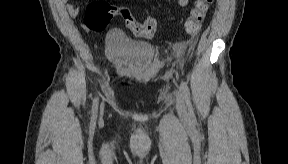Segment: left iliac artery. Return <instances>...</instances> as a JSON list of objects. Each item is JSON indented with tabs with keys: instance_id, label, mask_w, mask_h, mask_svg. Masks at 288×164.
I'll use <instances>...</instances> for the list:
<instances>
[{
	"instance_id": "1",
	"label": "left iliac artery",
	"mask_w": 288,
	"mask_h": 164,
	"mask_svg": "<svg viewBox=\"0 0 288 164\" xmlns=\"http://www.w3.org/2000/svg\"><path fill=\"white\" fill-rule=\"evenodd\" d=\"M180 88H181V91H182V93L184 95V98H185V101H186V104H187V107H188V110H189L190 118L192 120H194L195 119V115H194V111H193L192 104H191L190 90H189L186 82L182 81L181 84H180Z\"/></svg>"
}]
</instances>
